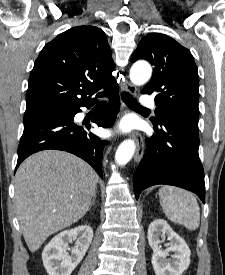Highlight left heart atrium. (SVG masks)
<instances>
[{
    "label": "left heart atrium",
    "mask_w": 225,
    "mask_h": 275,
    "mask_svg": "<svg viewBox=\"0 0 225 275\" xmlns=\"http://www.w3.org/2000/svg\"><path fill=\"white\" fill-rule=\"evenodd\" d=\"M129 127H130V126H129L128 124H124L123 127H122V129H123V130H127V129H129Z\"/></svg>",
    "instance_id": "39dd6f15"
}]
</instances>
